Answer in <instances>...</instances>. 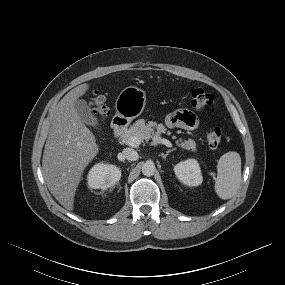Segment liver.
I'll use <instances>...</instances> for the list:
<instances>
[{
	"mask_svg": "<svg viewBox=\"0 0 285 285\" xmlns=\"http://www.w3.org/2000/svg\"><path fill=\"white\" fill-rule=\"evenodd\" d=\"M89 89L81 84L70 90L57 104L45 144L42 168L50 193L68 211L86 166L99 152L95 136L75 109V101Z\"/></svg>",
	"mask_w": 285,
	"mask_h": 285,
	"instance_id": "1",
	"label": "liver"
}]
</instances>
